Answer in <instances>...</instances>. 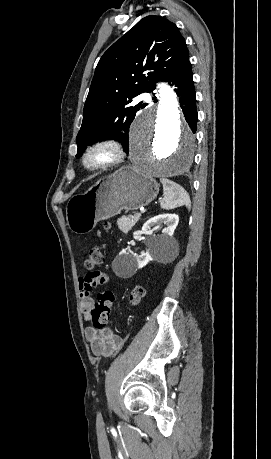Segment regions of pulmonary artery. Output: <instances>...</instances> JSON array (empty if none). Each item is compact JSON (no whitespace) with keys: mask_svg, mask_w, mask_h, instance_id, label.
<instances>
[{"mask_svg":"<svg viewBox=\"0 0 271 459\" xmlns=\"http://www.w3.org/2000/svg\"><path fill=\"white\" fill-rule=\"evenodd\" d=\"M149 96H150V93L148 91H145L143 93V97L141 98V101L144 106H150L153 103V100Z\"/></svg>","mask_w":271,"mask_h":459,"instance_id":"pulmonary-artery-1","label":"pulmonary artery"}]
</instances>
